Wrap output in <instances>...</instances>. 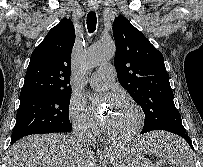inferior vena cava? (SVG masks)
Listing matches in <instances>:
<instances>
[{
  "label": "inferior vena cava",
  "instance_id": "602c4592",
  "mask_svg": "<svg viewBox=\"0 0 203 167\" xmlns=\"http://www.w3.org/2000/svg\"><path fill=\"white\" fill-rule=\"evenodd\" d=\"M75 144L81 148H87L92 143V134L86 126L76 127L72 133Z\"/></svg>",
  "mask_w": 203,
  "mask_h": 167
}]
</instances>
